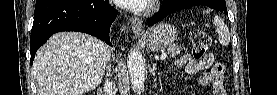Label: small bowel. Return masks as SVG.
Here are the masks:
<instances>
[{
	"label": "small bowel",
	"mask_w": 277,
	"mask_h": 95,
	"mask_svg": "<svg viewBox=\"0 0 277 95\" xmlns=\"http://www.w3.org/2000/svg\"><path fill=\"white\" fill-rule=\"evenodd\" d=\"M177 65L185 68L189 74L200 72V83L202 85L211 84L214 95H226L223 87V68L215 63V58L211 53H206L201 59H193L191 55H183L177 59Z\"/></svg>",
	"instance_id": "1"
}]
</instances>
